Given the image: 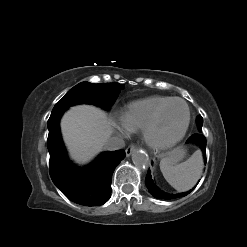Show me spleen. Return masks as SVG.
I'll use <instances>...</instances> for the list:
<instances>
[{"instance_id": "3e777b00", "label": "spleen", "mask_w": 247, "mask_h": 247, "mask_svg": "<svg viewBox=\"0 0 247 247\" xmlns=\"http://www.w3.org/2000/svg\"><path fill=\"white\" fill-rule=\"evenodd\" d=\"M161 172L166 181L177 191H187L192 188L201 176L203 169L202 155L196 151L185 162L175 164L169 157L162 158Z\"/></svg>"}]
</instances>
